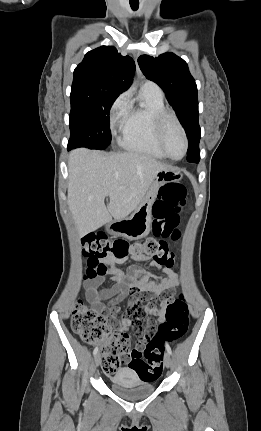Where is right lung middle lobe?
I'll list each match as a JSON object with an SVG mask.
<instances>
[{
  "instance_id": "dd1d6c3e",
  "label": "right lung middle lobe",
  "mask_w": 261,
  "mask_h": 431,
  "mask_svg": "<svg viewBox=\"0 0 261 431\" xmlns=\"http://www.w3.org/2000/svg\"><path fill=\"white\" fill-rule=\"evenodd\" d=\"M120 93L89 84H72L68 149H105L111 142L109 111Z\"/></svg>"
}]
</instances>
